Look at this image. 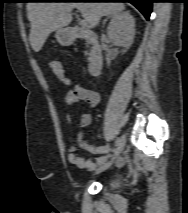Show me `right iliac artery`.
Returning <instances> with one entry per match:
<instances>
[{"label":"right iliac artery","instance_id":"82829eb1","mask_svg":"<svg viewBox=\"0 0 188 213\" xmlns=\"http://www.w3.org/2000/svg\"><path fill=\"white\" fill-rule=\"evenodd\" d=\"M119 141H120V138H117L116 141H115L116 146L118 145ZM98 163H100V161Z\"/></svg>","mask_w":188,"mask_h":213}]
</instances>
